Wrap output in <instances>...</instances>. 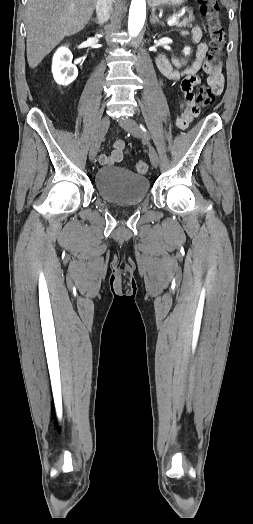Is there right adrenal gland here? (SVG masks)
<instances>
[{
	"mask_svg": "<svg viewBox=\"0 0 253 524\" xmlns=\"http://www.w3.org/2000/svg\"><path fill=\"white\" fill-rule=\"evenodd\" d=\"M92 21L95 22V23H98L97 20L95 18H92Z\"/></svg>",
	"mask_w": 253,
	"mask_h": 524,
	"instance_id": "1",
	"label": "right adrenal gland"
}]
</instances>
